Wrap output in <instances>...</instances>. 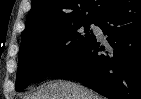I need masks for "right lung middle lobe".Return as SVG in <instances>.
I'll use <instances>...</instances> for the list:
<instances>
[{"mask_svg":"<svg viewBox=\"0 0 141 99\" xmlns=\"http://www.w3.org/2000/svg\"><path fill=\"white\" fill-rule=\"evenodd\" d=\"M91 23L95 21L80 22L21 44L16 91L25 89L33 81L53 76L69 65L92 40Z\"/></svg>","mask_w":141,"mask_h":99,"instance_id":"right-lung-middle-lobe-1","label":"right lung middle lobe"}]
</instances>
